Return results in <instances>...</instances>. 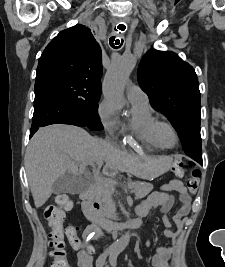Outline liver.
I'll return each mask as SVG.
<instances>
[{
	"label": "liver",
	"instance_id": "liver-1",
	"mask_svg": "<svg viewBox=\"0 0 225 267\" xmlns=\"http://www.w3.org/2000/svg\"><path fill=\"white\" fill-rule=\"evenodd\" d=\"M131 172L146 178L147 168L133 156L122 153L112 144L92 137L84 129L67 124L40 128L32 137L24 157L28 183L36 208L45 204L56 179L69 173L81 176L78 163Z\"/></svg>",
	"mask_w": 225,
	"mask_h": 267
}]
</instances>
